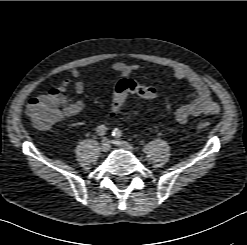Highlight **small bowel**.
Returning a JSON list of instances; mask_svg holds the SVG:
<instances>
[{
    "instance_id": "1",
    "label": "small bowel",
    "mask_w": 247,
    "mask_h": 245,
    "mask_svg": "<svg viewBox=\"0 0 247 245\" xmlns=\"http://www.w3.org/2000/svg\"><path fill=\"white\" fill-rule=\"evenodd\" d=\"M87 66V64L74 66L70 73L75 80L65 79L58 87L50 89L46 94L51 97H60L63 99V117L76 115L84 109V103L82 101L69 102L65 93L70 89L77 94L84 92L85 85L78 78L81 76L82 70ZM139 67L138 64L115 62L112 65V70L121 77H128L137 71ZM172 74L176 79L186 81L191 87V92L185 103L175 107L168 99L164 101L166 110L171 113L178 122L186 123L191 118L201 115H216L219 113L220 107L213 100L209 87L197 74L180 67L173 68Z\"/></svg>"
}]
</instances>
